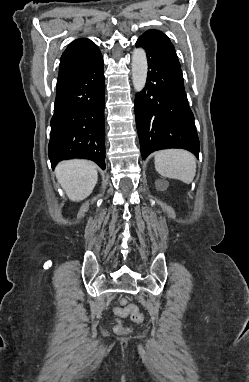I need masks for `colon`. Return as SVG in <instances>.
I'll return each instance as SVG.
<instances>
[{"label":"colon","mask_w":249,"mask_h":382,"mask_svg":"<svg viewBox=\"0 0 249 382\" xmlns=\"http://www.w3.org/2000/svg\"><path fill=\"white\" fill-rule=\"evenodd\" d=\"M121 308H117L114 310L115 314L119 317H125L130 314L133 321L137 323L143 322V315L140 313L139 309L134 304H129L126 299L121 300ZM115 331L118 334H123L130 331L129 327L124 326L120 321H118L115 326Z\"/></svg>","instance_id":"obj_1"}]
</instances>
